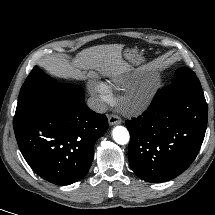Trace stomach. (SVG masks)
I'll list each match as a JSON object with an SVG mask.
<instances>
[{
	"label": "stomach",
	"mask_w": 215,
	"mask_h": 215,
	"mask_svg": "<svg viewBox=\"0 0 215 215\" xmlns=\"http://www.w3.org/2000/svg\"><path fill=\"white\" fill-rule=\"evenodd\" d=\"M124 56L133 64H140L143 61L142 57L135 50L126 49Z\"/></svg>",
	"instance_id": "stomach-1"
}]
</instances>
